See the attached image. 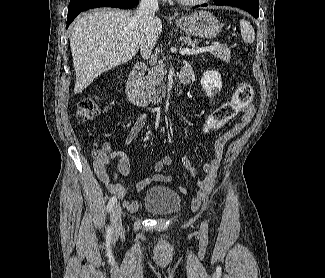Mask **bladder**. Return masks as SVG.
Instances as JSON below:
<instances>
[{
    "mask_svg": "<svg viewBox=\"0 0 325 278\" xmlns=\"http://www.w3.org/2000/svg\"><path fill=\"white\" fill-rule=\"evenodd\" d=\"M143 206L153 216H171L180 209L181 198L170 187L153 186L146 191Z\"/></svg>",
    "mask_w": 325,
    "mask_h": 278,
    "instance_id": "bladder-1",
    "label": "bladder"
}]
</instances>
